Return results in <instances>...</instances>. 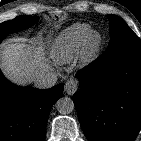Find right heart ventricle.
<instances>
[{
  "mask_svg": "<svg viewBox=\"0 0 141 141\" xmlns=\"http://www.w3.org/2000/svg\"><path fill=\"white\" fill-rule=\"evenodd\" d=\"M91 31L88 24L76 23L62 31L53 41L51 56L59 63H66L80 54L87 34Z\"/></svg>",
  "mask_w": 141,
  "mask_h": 141,
  "instance_id": "right-heart-ventricle-1",
  "label": "right heart ventricle"
}]
</instances>
